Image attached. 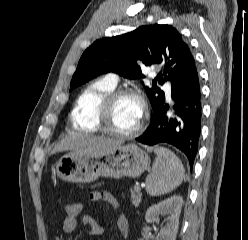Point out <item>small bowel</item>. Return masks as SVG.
I'll return each instance as SVG.
<instances>
[{"instance_id": "c3829d8e", "label": "small bowel", "mask_w": 248, "mask_h": 240, "mask_svg": "<svg viewBox=\"0 0 248 240\" xmlns=\"http://www.w3.org/2000/svg\"><path fill=\"white\" fill-rule=\"evenodd\" d=\"M90 199L94 202L103 201L107 203L113 210L118 208V203L115 197L106 191H93L90 194ZM82 220L87 224L91 232L95 235L103 232V226L101 223L87 215L82 217ZM117 226L119 231L124 237L129 235V224L127 218L123 214H119L117 217ZM77 227V217H65L62 223V230L65 234H72ZM54 240H61L59 237H55Z\"/></svg>"}]
</instances>
